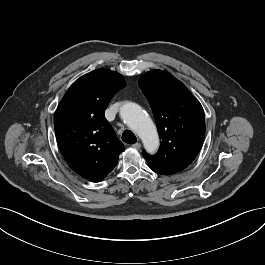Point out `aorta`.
Segmentation results:
<instances>
[{
    "instance_id": "762f6f07",
    "label": "aorta",
    "mask_w": 265,
    "mask_h": 265,
    "mask_svg": "<svg viewBox=\"0 0 265 265\" xmlns=\"http://www.w3.org/2000/svg\"><path fill=\"white\" fill-rule=\"evenodd\" d=\"M123 121L140 137L147 150L158 147L159 139L151 118L136 103L127 102L120 109Z\"/></svg>"
}]
</instances>
